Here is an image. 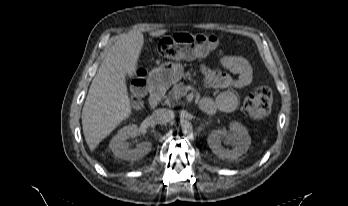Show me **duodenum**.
<instances>
[{"mask_svg": "<svg viewBox=\"0 0 348 206\" xmlns=\"http://www.w3.org/2000/svg\"><path fill=\"white\" fill-rule=\"evenodd\" d=\"M149 88H150L149 106L152 109H155L159 105L165 93V89L160 83V81L155 77L150 79Z\"/></svg>", "mask_w": 348, "mask_h": 206, "instance_id": "1", "label": "duodenum"}]
</instances>
